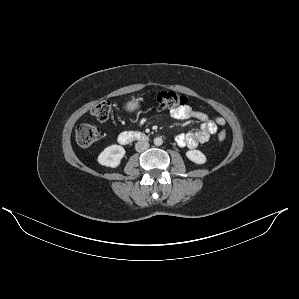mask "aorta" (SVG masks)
<instances>
[{
    "mask_svg": "<svg viewBox=\"0 0 299 299\" xmlns=\"http://www.w3.org/2000/svg\"><path fill=\"white\" fill-rule=\"evenodd\" d=\"M162 143H163V140H162L161 137H156V138L154 139V144H155L156 146H161Z\"/></svg>",
    "mask_w": 299,
    "mask_h": 299,
    "instance_id": "762f6f07",
    "label": "aorta"
}]
</instances>
